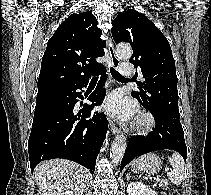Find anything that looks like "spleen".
<instances>
[{
    "mask_svg": "<svg viewBox=\"0 0 211 195\" xmlns=\"http://www.w3.org/2000/svg\"><path fill=\"white\" fill-rule=\"evenodd\" d=\"M171 172L168 174L169 180L174 184H181L184 178L185 162L180 154L174 153L170 158Z\"/></svg>",
    "mask_w": 211,
    "mask_h": 195,
    "instance_id": "3e777b00",
    "label": "spleen"
}]
</instances>
